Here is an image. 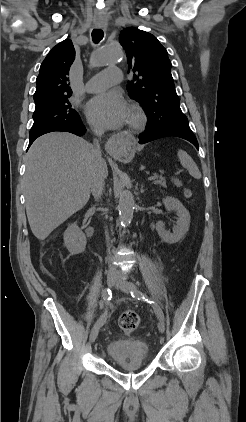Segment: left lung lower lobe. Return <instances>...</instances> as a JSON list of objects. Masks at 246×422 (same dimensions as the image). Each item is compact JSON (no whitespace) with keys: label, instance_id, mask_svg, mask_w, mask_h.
I'll list each match as a JSON object with an SVG mask.
<instances>
[{"label":"left lung lower lobe","instance_id":"left-lung-lower-lobe-1","mask_svg":"<svg viewBox=\"0 0 246 422\" xmlns=\"http://www.w3.org/2000/svg\"><path fill=\"white\" fill-rule=\"evenodd\" d=\"M179 137L191 142L198 149V142L189 125H168L158 128H147L139 135V143L144 144L163 137Z\"/></svg>","mask_w":246,"mask_h":422}]
</instances>
